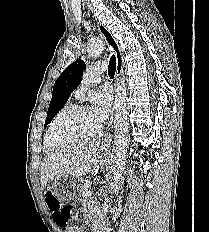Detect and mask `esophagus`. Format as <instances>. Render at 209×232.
Returning <instances> with one entry per match:
<instances>
[{
  "mask_svg": "<svg viewBox=\"0 0 209 232\" xmlns=\"http://www.w3.org/2000/svg\"><path fill=\"white\" fill-rule=\"evenodd\" d=\"M97 26H98V30L100 34L103 36L107 44L108 49L111 52H113L116 57L117 66H116L115 78L118 81L123 72V56H122L121 49L119 47L117 40L114 38L110 30L103 23L98 21ZM111 138H112V130L107 132L105 140H104V145L108 146L111 142Z\"/></svg>",
  "mask_w": 209,
  "mask_h": 232,
  "instance_id": "obj_1",
  "label": "esophagus"
}]
</instances>
